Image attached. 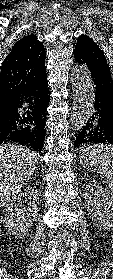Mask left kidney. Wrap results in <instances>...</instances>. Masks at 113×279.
Returning a JSON list of instances; mask_svg holds the SVG:
<instances>
[{"label":"left kidney","instance_id":"1","mask_svg":"<svg viewBox=\"0 0 113 279\" xmlns=\"http://www.w3.org/2000/svg\"><path fill=\"white\" fill-rule=\"evenodd\" d=\"M84 198L93 223L100 229L113 230V192L93 180L87 183Z\"/></svg>","mask_w":113,"mask_h":279}]
</instances>
